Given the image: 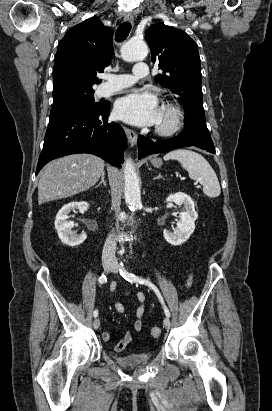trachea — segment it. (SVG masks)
Instances as JSON below:
<instances>
[{
  "instance_id": "3493384b",
  "label": "trachea",
  "mask_w": 272,
  "mask_h": 411,
  "mask_svg": "<svg viewBox=\"0 0 272 411\" xmlns=\"http://www.w3.org/2000/svg\"><path fill=\"white\" fill-rule=\"evenodd\" d=\"M131 31V24L129 22H124L122 23L115 34V40L116 42L120 43L123 42L129 35Z\"/></svg>"
}]
</instances>
